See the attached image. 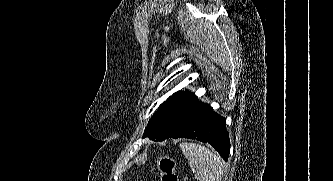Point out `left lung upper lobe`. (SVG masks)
<instances>
[{
    "label": "left lung upper lobe",
    "mask_w": 333,
    "mask_h": 181,
    "mask_svg": "<svg viewBox=\"0 0 333 181\" xmlns=\"http://www.w3.org/2000/svg\"><path fill=\"white\" fill-rule=\"evenodd\" d=\"M207 104L193 93L177 92L157 110L144 131L143 138L161 136L163 140L177 135Z\"/></svg>",
    "instance_id": "1"
}]
</instances>
